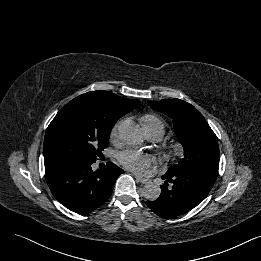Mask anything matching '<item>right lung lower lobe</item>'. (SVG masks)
<instances>
[{
	"mask_svg": "<svg viewBox=\"0 0 261 261\" xmlns=\"http://www.w3.org/2000/svg\"><path fill=\"white\" fill-rule=\"evenodd\" d=\"M96 160H75L45 165V178L54 197L69 210L88 214L111 195L124 171L109 162L104 170H92Z\"/></svg>",
	"mask_w": 261,
	"mask_h": 261,
	"instance_id": "98d812e1",
	"label": "right lung lower lobe"
}]
</instances>
